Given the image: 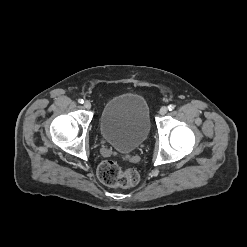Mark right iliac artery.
Here are the masks:
<instances>
[{"mask_svg":"<svg viewBox=\"0 0 247 247\" xmlns=\"http://www.w3.org/2000/svg\"><path fill=\"white\" fill-rule=\"evenodd\" d=\"M78 102H79L80 104H83L84 101H83V99H79Z\"/></svg>","mask_w":247,"mask_h":247,"instance_id":"82829eb1","label":"right iliac artery"}]
</instances>
